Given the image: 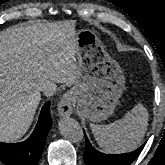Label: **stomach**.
<instances>
[{
    "mask_svg": "<svg viewBox=\"0 0 165 165\" xmlns=\"http://www.w3.org/2000/svg\"><path fill=\"white\" fill-rule=\"evenodd\" d=\"M93 39L96 46L101 47L103 57L94 63L93 57L98 52L87 41ZM76 41L80 54L84 52L83 59L90 63L82 62L83 74L76 80L73 87L78 108L83 116L90 121H102L111 116L124 90L125 78L120 65L107 52L99 42L95 32L81 30L76 33ZM96 69V70H95ZM94 70V71H93Z\"/></svg>",
    "mask_w": 165,
    "mask_h": 165,
    "instance_id": "obj_1",
    "label": "stomach"
}]
</instances>
